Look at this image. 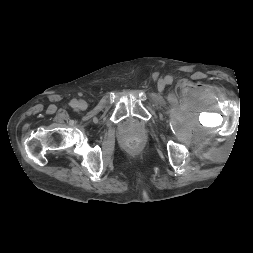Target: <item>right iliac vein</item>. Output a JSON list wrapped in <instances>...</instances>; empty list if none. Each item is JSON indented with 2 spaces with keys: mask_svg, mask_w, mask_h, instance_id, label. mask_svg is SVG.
<instances>
[{
  "mask_svg": "<svg viewBox=\"0 0 253 253\" xmlns=\"http://www.w3.org/2000/svg\"><path fill=\"white\" fill-rule=\"evenodd\" d=\"M78 107H79V109H81V110H85V109L87 108V104H86L85 101L80 100L79 103H78Z\"/></svg>",
  "mask_w": 253,
  "mask_h": 253,
  "instance_id": "63e3f726",
  "label": "right iliac vein"
}]
</instances>
